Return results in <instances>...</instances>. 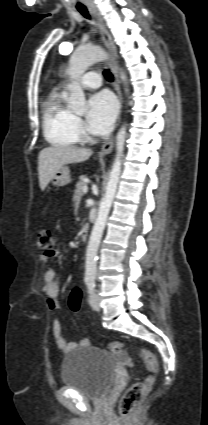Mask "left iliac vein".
Masks as SVG:
<instances>
[{"label": "left iliac vein", "mask_w": 208, "mask_h": 425, "mask_svg": "<svg viewBox=\"0 0 208 425\" xmlns=\"http://www.w3.org/2000/svg\"><path fill=\"white\" fill-rule=\"evenodd\" d=\"M89 303L94 310H100L99 296L96 292H93L90 296Z\"/></svg>", "instance_id": "4c4485c4"}]
</instances>
